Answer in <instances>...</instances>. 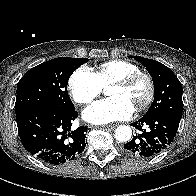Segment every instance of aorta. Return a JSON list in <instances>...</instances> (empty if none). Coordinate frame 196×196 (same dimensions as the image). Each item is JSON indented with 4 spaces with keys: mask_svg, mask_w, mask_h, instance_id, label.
<instances>
[{
    "mask_svg": "<svg viewBox=\"0 0 196 196\" xmlns=\"http://www.w3.org/2000/svg\"><path fill=\"white\" fill-rule=\"evenodd\" d=\"M132 130L129 126L120 125L115 130V138L120 142H126L131 139Z\"/></svg>",
    "mask_w": 196,
    "mask_h": 196,
    "instance_id": "aorta-1",
    "label": "aorta"
}]
</instances>
